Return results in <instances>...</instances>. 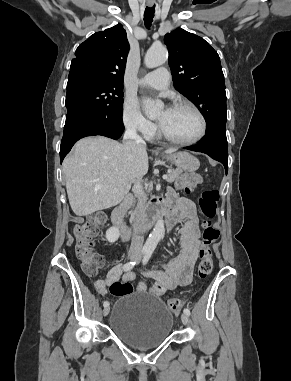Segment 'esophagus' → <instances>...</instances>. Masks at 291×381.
<instances>
[{
    "label": "esophagus",
    "mask_w": 291,
    "mask_h": 381,
    "mask_svg": "<svg viewBox=\"0 0 291 381\" xmlns=\"http://www.w3.org/2000/svg\"><path fill=\"white\" fill-rule=\"evenodd\" d=\"M150 6L152 5V3H148Z\"/></svg>",
    "instance_id": "34e87169"
}]
</instances>
